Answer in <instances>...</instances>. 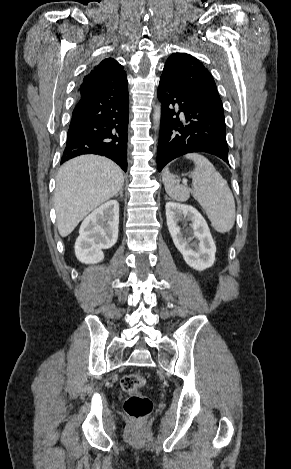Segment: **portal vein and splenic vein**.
Listing matches in <instances>:
<instances>
[{
  "mask_svg": "<svg viewBox=\"0 0 291 469\" xmlns=\"http://www.w3.org/2000/svg\"><path fill=\"white\" fill-rule=\"evenodd\" d=\"M183 182L186 184V183H187V180H184Z\"/></svg>",
  "mask_w": 291,
  "mask_h": 469,
  "instance_id": "portal-vein-and-splenic-vein-1",
  "label": "portal vein and splenic vein"
}]
</instances>
